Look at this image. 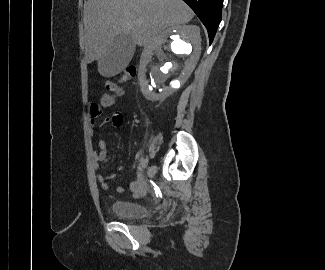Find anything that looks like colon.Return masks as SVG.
Here are the masks:
<instances>
[{"label": "colon", "instance_id": "obj_1", "mask_svg": "<svg viewBox=\"0 0 325 270\" xmlns=\"http://www.w3.org/2000/svg\"><path fill=\"white\" fill-rule=\"evenodd\" d=\"M136 75L135 67H128L124 76L117 81H109L105 84V92L103 93L100 103L104 107H110L115 103L116 98L121 93L120 84Z\"/></svg>", "mask_w": 325, "mask_h": 270}]
</instances>
